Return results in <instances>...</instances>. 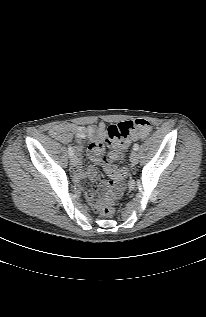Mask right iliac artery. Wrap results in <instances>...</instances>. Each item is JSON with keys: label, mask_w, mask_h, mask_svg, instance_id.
<instances>
[{"label": "right iliac artery", "mask_w": 206, "mask_h": 317, "mask_svg": "<svg viewBox=\"0 0 206 317\" xmlns=\"http://www.w3.org/2000/svg\"><path fill=\"white\" fill-rule=\"evenodd\" d=\"M68 154H69V156L70 157H72L73 155H74V153H73V147L72 146H68Z\"/></svg>", "instance_id": "obj_1"}]
</instances>
